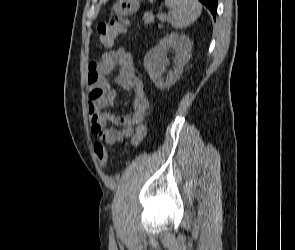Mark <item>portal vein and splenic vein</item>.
Here are the masks:
<instances>
[{"label":"portal vein and splenic vein","mask_w":295,"mask_h":250,"mask_svg":"<svg viewBox=\"0 0 295 250\" xmlns=\"http://www.w3.org/2000/svg\"><path fill=\"white\" fill-rule=\"evenodd\" d=\"M158 19L160 21H166V20H168V16L163 15V14H158Z\"/></svg>","instance_id":"obj_1"}]
</instances>
